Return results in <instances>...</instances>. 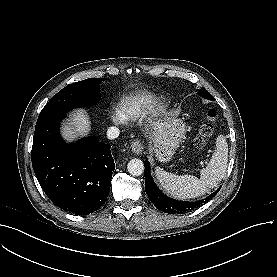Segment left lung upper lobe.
<instances>
[{
    "mask_svg": "<svg viewBox=\"0 0 277 277\" xmlns=\"http://www.w3.org/2000/svg\"><path fill=\"white\" fill-rule=\"evenodd\" d=\"M203 98L208 99V100H213L214 98L211 96V94L203 87L199 92H198Z\"/></svg>",
    "mask_w": 277,
    "mask_h": 277,
    "instance_id": "left-lung-upper-lobe-1",
    "label": "left lung upper lobe"
}]
</instances>
